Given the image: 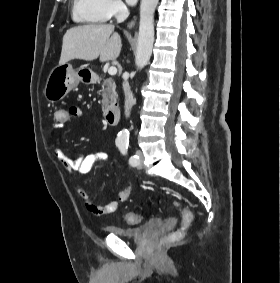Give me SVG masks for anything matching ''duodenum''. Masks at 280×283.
Masks as SVG:
<instances>
[{"label":"duodenum","instance_id":"duodenum-1","mask_svg":"<svg viewBox=\"0 0 280 283\" xmlns=\"http://www.w3.org/2000/svg\"><path fill=\"white\" fill-rule=\"evenodd\" d=\"M87 81L90 83H97L98 78L96 76H89ZM120 109L118 106H112L104 111V119L109 125H116L119 122Z\"/></svg>","mask_w":280,"mask_h":283}]
</instances>
